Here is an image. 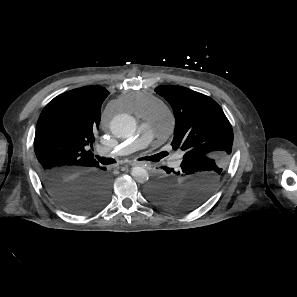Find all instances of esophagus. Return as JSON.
<instances>
[{"mask_svg":"<svg viewBox=\"0 0 297 297\" xmlns=\"http://www.w3.org/2000/svg\"><path fill=\"white\" fill-rule=\"evenodd\" d=\"M145 163L144 162H132L130 165L132 166H143Z\"/></svg>","mask_w":297,"mask_h":297,"instance_id":"esophagus-1","label":"esophagus"}]
</instances>
